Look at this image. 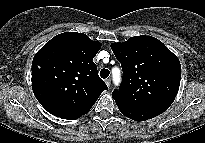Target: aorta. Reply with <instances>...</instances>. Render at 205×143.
I'll return each mask as SVG.
<instances>
[{
    "mask_svg": "<svg viewBox=\"0 0 205 143\" xmlns=\"http://www.w3.org/2000/svg\"><path fill=\"white\" fill-rule=\"evenodd\" d=\"M112 74H113L114 84L119 85L120 82H121L120 70L118 68H113L112 69Z\"/></svg>",
    "mask_w": 205,
    "mask_h": 143,
    "instance_id": "obj_1",
    "label": "aorta"
}]
</instances>
